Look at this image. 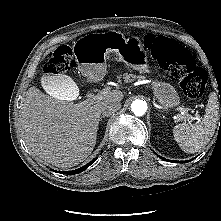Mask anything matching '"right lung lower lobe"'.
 <instances>
[{"label": "right lung lower lobe", "mask_w": 221, "mask_h": 221, "mask_svg": "<svg viewBox=\"0 0 221 221\" xmlns=\"http://www.w3.org/2000/svg\"><path fill=\"white\" fill-rule=\"evenodd\" d=\"M95 161V159H93L92 161H90L88 164H86L85 166L78 168L76 170H72V171H67V172H61V171H57L63 174H68V175H74V174H78L84 170H86L91 164H93V162ZM54 171V170H53Z\"/></svg>", "instance_id": "1"}]
</instances>
